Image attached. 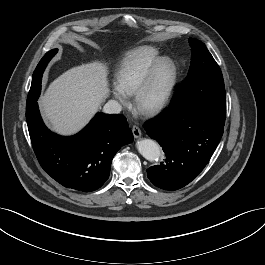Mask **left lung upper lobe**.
<instances>
[{
	"label": "left lung upper lobe",
	"mask_w": 265,
	"mask_h": 265,
	"mask_svg": "<svg viewBox=\"0 0 265 265\" xmlns=\"http://www.w3.org/2000/svg\"><path fill=\"white\" fill-rule=\"evenodd\" d=\"M192 49L188 75L170 107H193L225 123L226 94L221 70L199 40L189 38Z\"/></svg>",
	"instance_id": "left-lung-upper-lobe-1"
}]
</instances>
